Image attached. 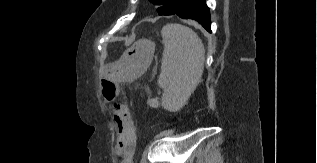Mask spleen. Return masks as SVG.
<instances>
[{
  "label": "spleen",
  "instance_id": "obj_1",
  "mask_svg": "<svg viewBox=\"0 0 317 163\" xmlns=\"http://www.w3.org/2000/svg\"><path fill=\"white\" fill-rule=\"evenodd\" d=\"M164 51L158 85L164 89L161 105L170 112L180 110L200 82L205 49L189 27L167 24L161 30Z\"/></svg>",
  "mask_w": 317,
  "mask_h": 163
}]
</instances>
